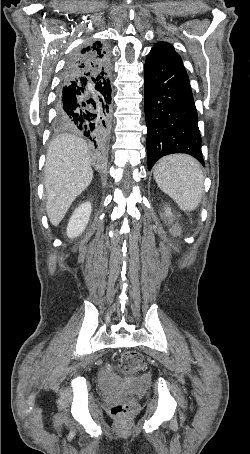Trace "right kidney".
I'll return each mask as SVG.
<instances>
[{"instance_id":"1","label":"right kidney","mask_w":250,"mask_h":454,"mask_svg":"<svg viewBox=\"0 0 250 454\" xmlns=\"http://www.w3.org/2000/svg\"><path fill=\"white\" fill-rule=\"evenodd\" d=\"M91 211L90 202L82 203L75 209L67 225V236L69 238H75L82 234L89 222Z\"/></svg>"}]
</instances>
